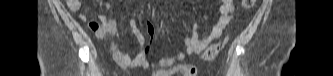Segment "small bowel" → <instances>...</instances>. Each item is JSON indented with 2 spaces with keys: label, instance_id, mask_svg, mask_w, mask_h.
Returning <instances> with one entry per match:
<instances>
[{
  "label": "small bowel",
  "instance_id": "1",
  "mask_svg": "<svg viewBox=\"0 0 333 76\" xmlns=\"http://www.w3.org/2000/svg\"><path fill=\"white\" fill-rule=\"evenodd\" d=\"M66 5L69 11L76 12L81 8V1L67 0ZM234 12V1L222 0L219 8V18L207 35L201 36L198 33L197 24L193 23L191 29L186 32L183 39L184 50L176 53L172 57L162 58L157 61L148 60L150 47L147 43L145 34L141 31L138 22L135 19H131L129 21V28L135 37L136 44L139 47V51L134 58L119 48L117 42L118 25L115 20L108 19L101 13L98 20H91L89 22V27L93 32H95L98 38L109 41L112 57L121 69L140 67L144 69H152L155 76H195L196 69L193 66L180 64V62L190 54L202 52L215 39L219 38L232 22ZM78 18L81 22H86L88 20L87 15L83 12L79 13ZM146 26L148 34L150 37H153L156 32L155 26L150 22H147Z\"/></svg>",
  "mask_w": 333,
  "mask_h": 76
}]
</instances>
